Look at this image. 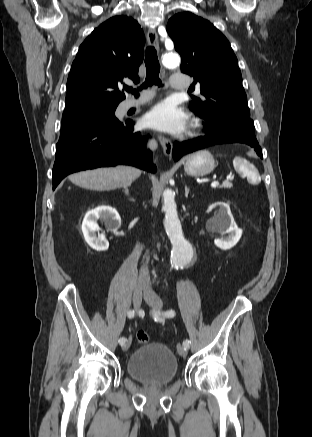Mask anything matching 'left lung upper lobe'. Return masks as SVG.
Listing matches in <instances>:
<instances>
[{
    "label": "left lung upper lobe",
    "mask_w": 312,
    "mask_h": 437,
    "mask_svg": "<svg viewBox=\"0 0 312 437\" xmlns=\"http://www.w3.org/2000/svg\"><path fill=\"white\" fill-rule=\"evenodd\" d=\"M166 30L181 55V71L194 77L204 96L191 102L194 113L206 119L208 126L225 127L241 139L257 140L238 61L226 37L191 12L174 15Z\"/></svg>",
    "instance_id": "left-lung-upper-lobe-1"
}]
</instances>
